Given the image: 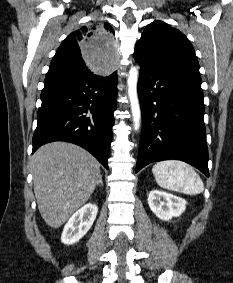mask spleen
<instances>
[{"label": "spleen", "instance_id": "1", "mask_svg": "<svg viewBox=\"0 0 233 283\" xmlns=\"http://www.w3.org/2000/svg\"><path fill=\"white\" fill-rule=\"evenodd\" d=\"M152 173L157 184L165 189L196 195L204 191V184L200 176L188 164L167 160L155 164Z\"/></svg>", "mask_w": 233, "mask_h": 283}]
</instances>
